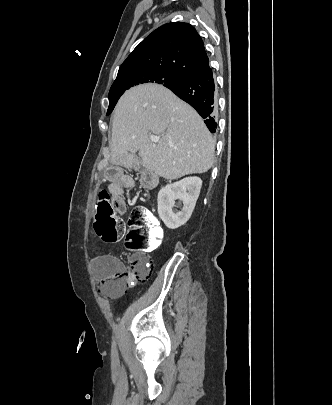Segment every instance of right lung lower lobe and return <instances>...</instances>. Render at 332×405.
Instances as JSON below:
<instances>
[{"label": "right lung lower lobe", "instance_id": "right-lung-lower-lobe-1", "mask_svg": "<svg viewBox=\"0 0 332 405\" xmlns=\"http://www.w3.org/2000/svg\"><path fill=\"white\" fill-rule=\"evenodd\" d=\"M167 88L189 103L205 118L204 122L210 132H216L217 123L214 118L217 111L216 83L209 65L185 76Z\"/></svg>", "mask_w": 332, "mask_h": 405}]
</instances>
